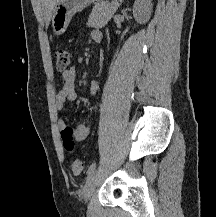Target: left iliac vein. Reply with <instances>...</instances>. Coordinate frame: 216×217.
Wrapping results in <instances>:
<instances>
[{
  "label": "left iliac vein",
  "instance_id": "1",
  "mask_svg": "<svg viewBox=\"0 0 216 217\" xmlns=\"http://www.w3.org/2000/svg\"><path fill=\"white\" fill-rule=\"evenodd\" d=\"M96 184V173L93 172L91 175L88 176L86 184L84 186V199L86 202L91 198L94 188Z\"/></svg>",
  "mask_w": 216,
  "mask_h": 217
}]
</instances>
